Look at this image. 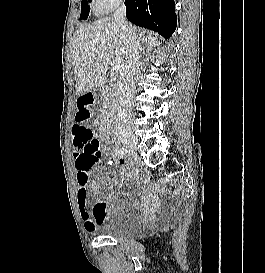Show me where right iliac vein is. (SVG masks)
<instances>
[{"label":"right iliac vein","mask_w":265,"mask_h":273,"mask_svg":"<svg viewBox=\"0 0 265 273\" xmlns=\"http://www.w3.org/2000/svg\"><path fill=\"white\" fill-rule=\"evenodd\" d=\"M126 146L129 148L136 150L138 145V139L134 134L126 133L123 137L119 138Z\"/></svg>","instance_id":"right-iliac-vein-1"}]
</instances>
